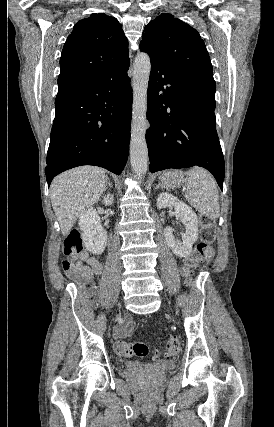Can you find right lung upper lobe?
Returning a JSON list of instances; mask_svg holds the SVG:
<instances>
[{"label":"right lung upper lobe","instance_id":"obj_1","mask_svg":"<svg viewBox=\"0 0 274 427\" xmlns=\"http://www.w3.org/2000/svg\"><path fill=\"white\" fill-rule=\"evenodd\" d=\"M129 64L121 24L104 13H93L75 24L64 44L56 99L93 86Z\"/></svg>","mask_w":274,"mask_h":427}]
</instances>
